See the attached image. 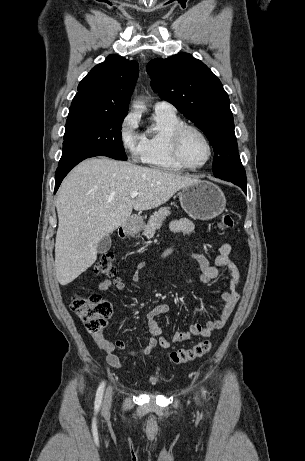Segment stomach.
<instances>
[{
	"mask_svg": "<svg viewBox=\"0 0 305 461\" xmlns=\"http://www.w3.org/2000/svg\"><path fill=\"white\" fill-rule=\"evenodd\" d=\"M179 197L183 210L190 217L199 220L215 218L224 211L226 206V198L222 190L206 180H198L194 184L182 188ZM142 228V222L133 226H124L128 235H134Z\"/></svg>",
	"mask_w": 305,
	"mask_h": 461,
	"instance_id": "0dacf381",
	"label": "stomach"
}]
</instances>
